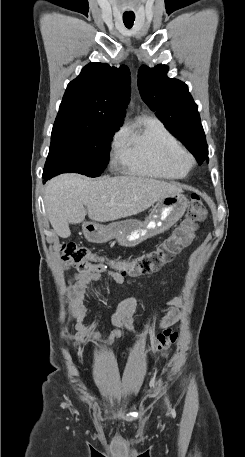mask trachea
Listing matches in <instances>:
<instances>
[{
	"label": "trachea",
	"instance_id": "1",
	"mask_svg": "<svg viewBox=\"0 0 245 457\" xmlns=\"http://www.w3.org/2000/svg\"><path fill=\"white\" fill-rule=\"evenodd\" d=\"M135 20L134 13H124L123 14V22L127 28H131L133 26Z\"/></svg>",
	"mask_w": 245,
	"mask_h": 457
}]
</instances>
